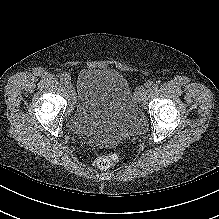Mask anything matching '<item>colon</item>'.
Here are the masks:
<instances>
[{"instance_id": "1", "label": "colon", "mask_w": 219, "mask_h": 219, "mask_svg": "<svg viewBox=\"0 0 219 219\" xmlns=\"http://www.w3.org/2000/svg\"><path fill=\"white\" fill-rule=\"evenodd\" d=\"M120 161V155L117 153H109L98 157L95 161L97 168L107 170L115 166Z\"/></svg>"}]
</instances>
